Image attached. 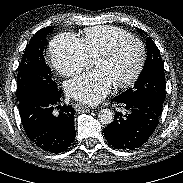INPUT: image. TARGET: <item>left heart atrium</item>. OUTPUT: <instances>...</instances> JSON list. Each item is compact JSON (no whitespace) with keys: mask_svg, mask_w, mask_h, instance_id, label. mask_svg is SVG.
<instances>
[{"mask_svg":"<svg viewBox=\"0 0 183 183\" xmlns=\"http://www.w3.org/2000/svg\"><path fill=\"white\" fill-rule=\"evenodd\" d=\"M112 83L101 70H93L66 84L68 95L82 103H99L110 91Z\"/></svg>","mask_w":183,"mask_h":183,"instance_id":"39dd6f15","label":"left heart atrium"}]
</instances>
